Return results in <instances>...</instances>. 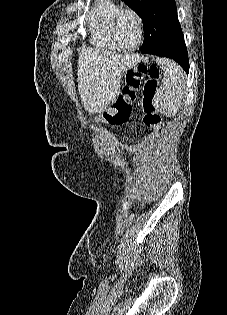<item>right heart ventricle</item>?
I'll return each instance as SVG.
<instances>
[{
    "label": "right heart ventricle",
    "mask_w": 227,
    "mask_h": 315,
    "mask_svg": "<svg viewBox=\"0 0 227 315\" xmlns=\"http://www.w3.org/2000/svg\"><path fill=\"white\" fill-rule=\"evenodd\" d=\"M120 8L121 6L116 0H95L86 17L95 46L108 50L117 48L110 36V25L112 18Z\"/></svg>",
    "instance_id": "obj_1"
}]
</instances>
